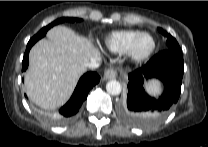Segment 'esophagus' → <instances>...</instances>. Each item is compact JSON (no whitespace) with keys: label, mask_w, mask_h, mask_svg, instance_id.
<instances>
[{"label":"esophagus","mask_w":208,"mask_h":147,"mask_svg":"<svg viewBox=\"0 0 208 147\" xmlns=\"http://www.w3.org/2000/svg\"><path fill=\"white\" fill-rule=\"evenodd\" d=\"M117 75V72L114 68H109L104 72V79L105 80H110L114 79Z\"/></svg>","instance_id":"esophagus-1"}]
</instances>
